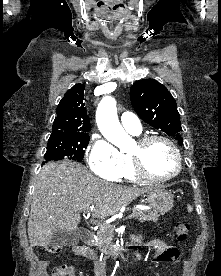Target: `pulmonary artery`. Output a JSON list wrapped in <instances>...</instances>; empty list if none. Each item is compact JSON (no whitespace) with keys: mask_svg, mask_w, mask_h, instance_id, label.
Here are the masks:
<instances>
[{"mask_svg":"<svg viewBox=\"0 0 221 276\" xmlns=\"http://www.w3.org/2000/svg\"><path fill=\"white\" fill-rule=\"evenodd\" d=\"M121 123L123 127L132 134H140L142 131V126L139 118L131 113V112H124L121 115Z\"/></svg>","mask_w":221,"mask_h":276,"instance_id":"obj_1","label":"pulmonary artery"}]
</instances>
